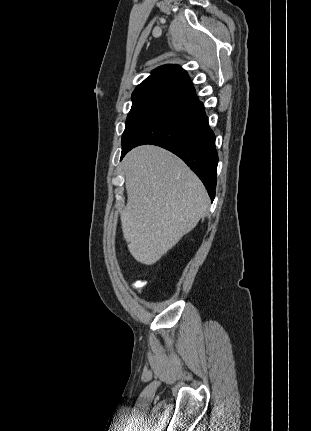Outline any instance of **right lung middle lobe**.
Here are the masks:
<instances>
[{
    "label": "right lung middle lobe",
    "mask_w": 311,
    "mask_h": 431,
    "mask_svg": "<svg viewBox=\"0 0 311 431\" xmlns=\"http://www.w3.org/2000/svg\"><path fill=\"white\" fill-rule=\"evenodd\" d=\"M179 99L181 98L177 95L157 90L133 92V105L128 114L125 131L122 135V149L143 125Z\"/></svg>",
    "instance_id": "dd1d6c3e"
}]
</instances>
